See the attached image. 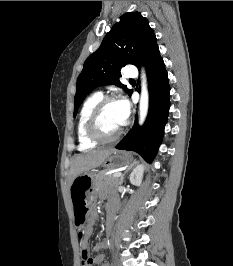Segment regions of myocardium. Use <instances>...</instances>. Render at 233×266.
Segmentation results:
<instances>
[{"instance_id": "myocardium-1", "label": "myocardium", "mask_w": 233, "mask_h": 266, "mask_svg": "<svg viewBox=\"0 0 233 266\" xmlns=\"http://www.w3.org/2000/svg\"><path fill=\"white\" fill-rule=\"evenodd\" d=\"M111 102H117L113 96H104L93 107L86 124V134L94 142L109 143L118 139L123 133V127L119 128L114 134L106 136L99 129V120L104 107Z\"/></svg>"}]
</instances>
